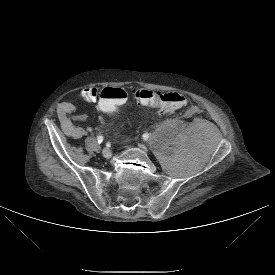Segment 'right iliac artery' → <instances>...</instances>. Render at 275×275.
Instances as JSON below:
<instances>
[{"mask_svg": "<svg viewBox=\"0 0 275 275\" xmlns=\"http://www.w3.org/2000/svg\"><path fill=\"white\" fill-rule=\"evenodd\" d=\"M103 136L102 135H99V136H97V141H98V143H101L102 141H103Z\"/></svg>", "mask_w": 275, "mask_h": 275, "instance_id": "82829eb1", "label": "right iliac artery"}]
</instances>
